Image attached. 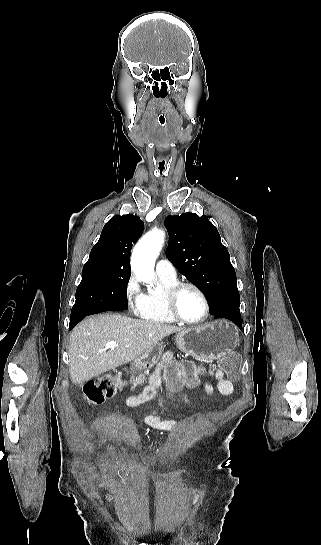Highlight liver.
Segmentation results:
<instances>
[{"mask_svg":"<svg viewBox=\"0 0 321 545\" xmlns=\"http://www.w3.org/2000/svg\"><path fill=\"white\" fill-rule=\"evenodd\" d=\"M177 331H182L181 327L139 321L124 315L88 317L70 335L69 371L72 383L82 385L101 373L126 365ZM110 341H116L118 347L107 351L106 345Z\"/></svg>","mask_w":321,"mask_h":545,"instance_id":"6515ba94","label":"liver"}]
</instances>
